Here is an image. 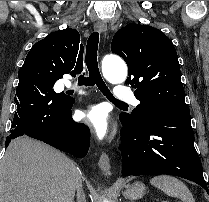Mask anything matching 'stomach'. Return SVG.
<instances>
[{
    "instance_id": "obj_1",
    "label": "stomach",
    "mask_w": 209,
    "mask_h": 202,
    "mask_svg": "<svg viewBox=\"0 0 209 202\" xmlns=\"http://www.w3.org/2000/svg\"><path fill=\"white\" fill-rule=\"evenodd\" d=\"M145 194V186L141 182L126 185L123 195L128 199H139Z\"/></svg>"
}]
</instances>
